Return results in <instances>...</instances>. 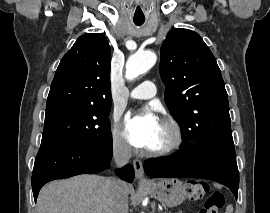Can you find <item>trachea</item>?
Returning a JSON list of instances; mask_svg holds the SVG:
<instances>
[{"label": "trachea", "mask_w": 270, "mask_h": 213, "mask_svg": "<svg viewBox=\"0 0 270 213\" xmlns=\"http://www.w3.org/2000/svg\"><path fill=\"white\" fill-rule=\"evenodd\" d=\"M145 19H134V23L138 26H141L144 23Z\"/></svg>", "instance_id": "trachea-1"}]
</instances>
